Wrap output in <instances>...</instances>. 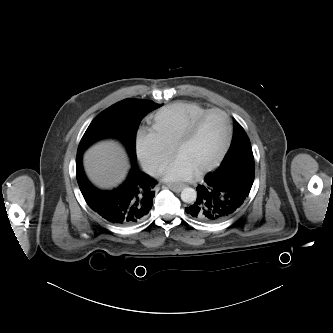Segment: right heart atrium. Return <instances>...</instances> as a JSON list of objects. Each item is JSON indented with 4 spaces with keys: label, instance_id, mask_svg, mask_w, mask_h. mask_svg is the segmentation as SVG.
I'll list each match as a JSON object with an SVG mask.
<instances>
[{
    "label": "right heart atrium",
    "instance_id": "d8ad5b80",
    "mask_svg": "<svg viewBox=\"0 0 333 333\" xmlns=\"http://www.w3.org/2000/svg\"><path fill=\"white\" fill-rule=\"evenodd\" d=\"M136 151L143 167L152 175L160 172L172 152L171 146L156 131L146 128L137 133Z\"/></svg>",
    "mask_w": 333,
    "mask_h": 333
}]
</instances>
